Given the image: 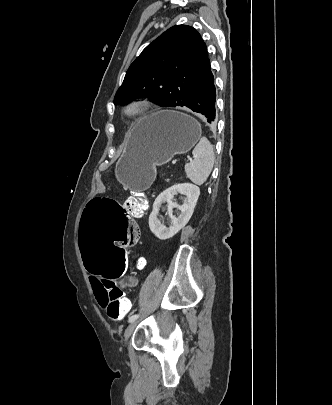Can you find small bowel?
Wrapping results in <instances>:
<instances>
[{
  "instance_id": "1",
  "label": "small bowel",
  "mask_w": 332,
  "mask_h": 405,
  "mask_svg": "<svg viewBox=\"0 0 332 405\" xmlns=\"http://www.w3.org/2000/svg\"><path fill=\"white\" fill-rule=\"evenodd\" d=\"M132 214H133V220H135V217H137V214H136V213H132ZM137 227H139V226H138V223H137ZM139 237H140V236H138V238H139ZM138 240H139V239H138ZM106 276H107V275H106ZM99 279H100V278H98V277H96V276L94 275V276H92L91 282H92L94 294H95V297H96L98 303H99L102 307H104V306H105V293H104L103 291H101L100 288H99V284H98ZM137 282H138V281H137V278H136V277H134V276H128V277L121 283V287H123V288H126V287H134V286L137 285ZM129 308H130V307H129Z\"/></svg>"
}]
</instances>
